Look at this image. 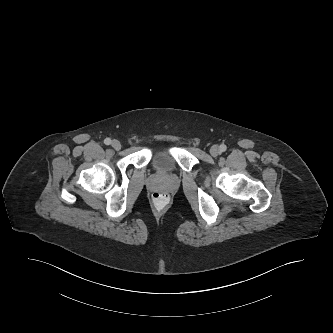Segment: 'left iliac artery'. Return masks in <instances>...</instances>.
<instances>
[{"mask_svg":"<svg viewBox=\"0 0 333 333\" xmlns=\"http://www.w3.org/2000/svg\"><path fill=\"white\" fill-rule=\"evenodd\" d=\"M226 149H227L226 145H224V144L220 145V151L221 152L226 151Z\"/></svg>","mask_w":333,"mask_h":333,"instance_id":"obj_1","label":"left iliac artery"}]
</instances>
